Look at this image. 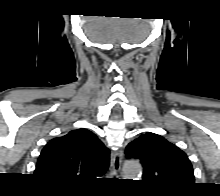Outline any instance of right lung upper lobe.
I'll return each instance as SVG.
<instances>
[{
	"label": "right lung upper lobe",
	"instance_id": "cb5924a9",
	"mask_svg": "<svg viewBox=\"0 0 220 196\" xmlns=\"http://www.w3.org/2000/svg\"><path fill=\"white\" fill-rule=\"evenodd\" d=\"M109 150L89 130L81 128L54 138L43 148L35 175L56 186L73 187L102 176Z\"/></svg>",
	"mask_w": 220,
	"mask_h": 196
}]
</instances>
